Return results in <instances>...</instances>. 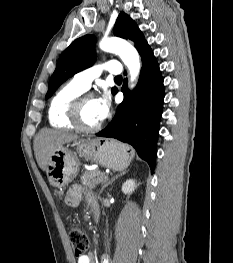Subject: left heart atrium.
Here are the masks:
<instances>
[{"mask_svg":"<svg viewBox=\"0 0 233 263\" xmlns=\"http://www.w3.org/2000/svg\"><path fill=\"white\" fill-rule=\"evenodd\" d=\"M96 100V113L99 121L106 118L110 109V97L104 92Z\"/></svg>","mask_w":233,"mask_h":263,"instance_id":"1","label":"left heart atrium"}]
</instances>
